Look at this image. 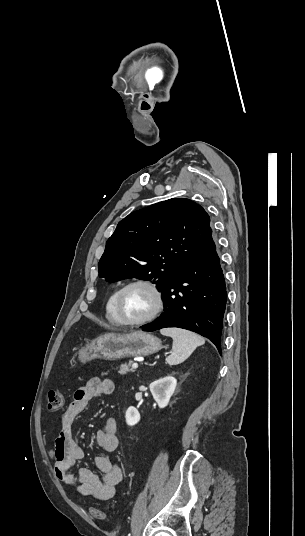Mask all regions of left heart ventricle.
Masks as SVG:
<instances>
[{"label":"left heart ventricle","mask_w":305,"mask_h":536,"mask_svg":"<svg viewBox=\"0 0 305 536\" xmlns=\"http://www.w3.org/2000/svg\"><path fill=\"white\" fill-rule=\"evenodd\" d=\"M153 293L145 286L135 285L128 288L122 298V315L126 321L145 318L154 308Z\"/></svg>","instance_id":"b2bd125f"}]
</instances>
